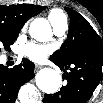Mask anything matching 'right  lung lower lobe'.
I'll return each mask as SVG.
<instances>
[{
  "instance_id": "98d812e1",
  "label": "right lung lower lobe",
  "mask_w": 103,
  "mask_h": 103,
  "mask_svg": "<svg viewBox=\"0 0 103 103\" xmlns=\"http://www.w3.org/2000/svg\"><path fill=\"white\" fill-rule=\"evenodd\" d=\"M34 77V64L24 59L13 68L0 64V103H14L20 87Z\"/></svg>"
}]
</instances>
